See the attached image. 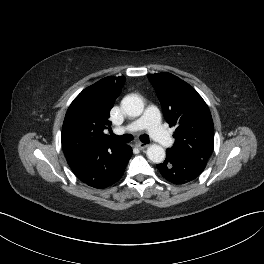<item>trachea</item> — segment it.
<instances>
[{"mask_svg":"<svg viewBox=\"0 0 264 264\" xmlns=\"http://www.w3.org/2000/svg\"><path fill=\"white\" fill-rule=\"evenodd\" d=\"M112 139H115L117 141H120V142H130L132 140V136L129 135V134H124L122 136H117L115 134H111L110 136ZM140 141L143 142V143H149V138L147 135H141L140 136Z\"/></svg>","mask_w":264,"mask_h":264,"instance_id":"obj_1","label":"trachea"}]
</instances>
